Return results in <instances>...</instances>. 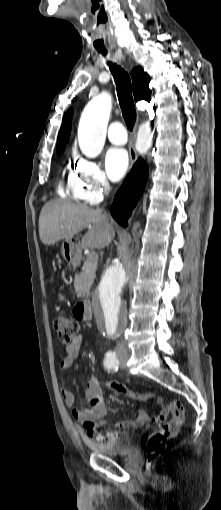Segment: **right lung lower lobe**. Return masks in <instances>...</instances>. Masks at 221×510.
<instances>
[{"label":"right lung lower lobe","mask_w":221,"mask_h":510,"mask_svg":"<svg viewBox=\"0 0 221 510\" xmlns=\"http://www.w3.org/2000/svg\"><path fill=\"white\" fill-rule=\"evenodd\" d=\"M148 172L147 164L139 158L117 191L111 206V214L121 226H127L128 217L146 186Z\"/></svg>","instance_id":"1"}]
</instances>
